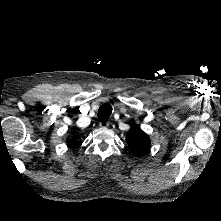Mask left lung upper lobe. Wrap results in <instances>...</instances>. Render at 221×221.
Wrapping results in <instances>:
<instances>
[{"instance_id": "5c2ea615", "label": "left lung upper lobe", "mask_w": 221, "mask_h": 221, "mask_svg": "<svg viewBox=\"0 0 221 221\" xmlns=\"http://www.w3.org/2000/svg\"><path fill=\"white\" fill-rule=\"evenodd\" d=\"M128 146L136 154L145 153L150 147V138L139 127L133 126L126 136Z\"/></svg>"}]
</instances>
